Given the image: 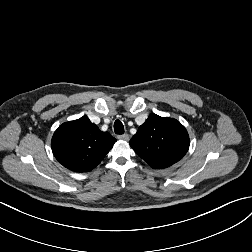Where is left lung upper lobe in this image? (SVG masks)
Instances as JSON below:
<instances>
[{
	"label": "left lung upper lobe",
	"instance_id": "left-lung-upper-lobe-1",
	"mask_svg": "<svg viewBox=\"0 0 252 252\" xmlns=\"http://www.w3.org/2000/svg\"><path fill=\"white\" fill-rule=\"evenodd\" d=\"M129 144L152 168L159 169L179 161L188 151L190 140L176 119L151 114Z\"/></svg>",
	"mask_w": 252,
	"mask_h": 252
}]
</instances>
